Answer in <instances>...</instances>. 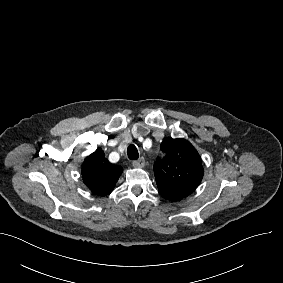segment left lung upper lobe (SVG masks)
Instances as JSON below:
<instances>
[{
  "mask_svg": "<svg viewBox=\"0 0 283 283\" xmlns=\"http://www.w3.org/2000/svg\"><path fill=\"white\" fill-rule=\"evenodd\" d=\"M165 157L157 158L154 174L160 195L170 201L189 196L203 178L197 150L185 139H165L161 143Z\"/></svg>",
  "mask_w": 283,
  "mask_h": 283,
  "instance_id": "5c2ea615",
  "label": "left lung upper lobe"
}]
</instances>
